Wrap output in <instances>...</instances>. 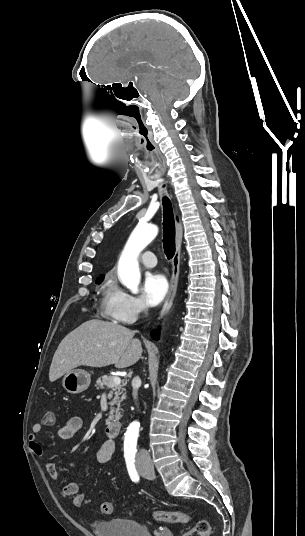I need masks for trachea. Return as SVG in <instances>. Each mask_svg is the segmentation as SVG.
I'll return each instance as SVG.
<instances>
[{
    "label": "trachea",
    "mask_w": 305,
    "mask_h": 536,
    "mask_svg": "<svg viewBox=\"0 0 305 536\" xmlns=\"http://www.w3.org/2000/svg\"><path fill=\"white\" fill-rule=\"evenodd\" d=\"M163 205V248L168 260L175 254V221L172 204L166 196L162 199Z\"/></svg>",
    "instance_id": "trachea-1"
}]
</instances>
